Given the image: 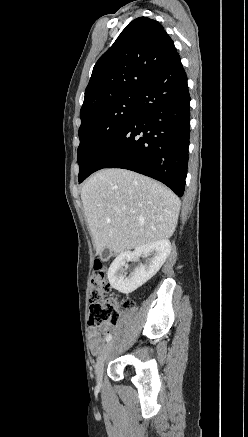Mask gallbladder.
Here are the masks:
<instances>
[{
  "instance_id": "bac80fb5",
  "label": "gallbladder",
  "mask_w": 248,
  "mask_h": 437,
  "mask_svg": "<svg viewBox=\"0 0 248 437\" xmlns=\"http://www.w3.org/2000/svg\"><path fill=\"white\" fill-rule=\"evenodd\" d=\"M110 255H111V252H110L107 248H105V249L100 253V258H101L102 260H107V259L110 257Z\"/></svg>"
}]
</instances>
